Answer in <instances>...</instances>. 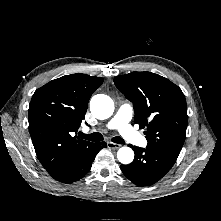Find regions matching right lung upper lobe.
I'll return each mask as SVG.
<instances>
[{
	"instance_id": "right-lung-upper-lobe-1",
	"label": "right lung upper lobe",
	"mask_w": 221,
	"mask_h": 221,
	"mask_svg": "<svg viewBox=\"0 0 221 221\" xmlns=\"http://www.w3.org/2000/svg\"><path fill=\"white\" fill-rule=\"evenodd\" d=\"M103 78L72 74L37 89L28 121L36 155L48 173L80 156L93 143L74 133L85 117L88 101Z\"/></svg>"
}]
</instances>
